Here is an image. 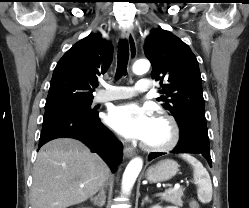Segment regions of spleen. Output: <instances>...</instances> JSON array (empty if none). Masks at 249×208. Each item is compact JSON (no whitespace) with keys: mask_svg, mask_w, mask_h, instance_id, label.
Masks as SVG:
<instances>
[{"mask_svg":"<svg viewBox=\"0 0 249 208\" xmlns=\"http://www.w3.org/2000/svg\"><path fill=\"white\" fill-rule=\"evenodd\" d=\"M181 157L188 161L194 168L193 176L198 186L197 195L202 203H209L212 199V183L208 171L195 157L182 154Z\"/></svg>","mask_w":249,"mask_h":208,"instance_id":"obj_1","label":"spleen"}]
</instances>
